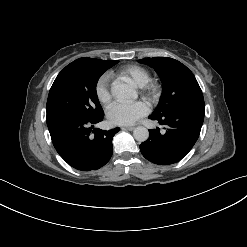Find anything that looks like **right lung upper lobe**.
Segmentation results:
<instances>
[{
  "instance_id": "obj_1",
  "label": "right lung upper lobe",
  "mask_w": 247,
  "mask_h": 247,
  "mask_svg": "<svg viewBox=\"0 0 247 247\" xmlns=\"http://www.w3.org/2000/svg\"><path fill=\"white\" fill-rule=\"evenodd\" d=\"M97 60H99V59L83 57V58H79V59L73 61L68 66L80 65V64H89V63L95 62Z\"/></svg>"
}]
</instances>
